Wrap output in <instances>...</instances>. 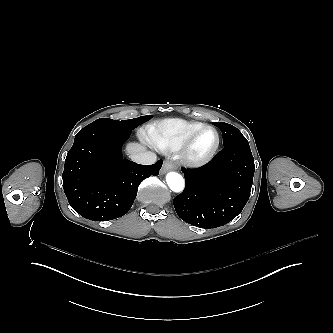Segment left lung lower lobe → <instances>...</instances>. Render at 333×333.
<instances>
[{"label":"left lung lower lobe","instance_id":"left-lung-lower-lobe-1","mask_svg":"<svg viewBox=\"0 0 333 333\" xmlns=\"http://www.w3.org/2000/svg\"><path fill=\"white\" fill-rule=\"evenodd\" d=\"M184 191L174 198L178 216L200 228L229 223L247 203L255 171L248 141L230 143L206 165L182 169Z\"/></svg>","mask_w":333,"mask_h":333}]
</instances>
